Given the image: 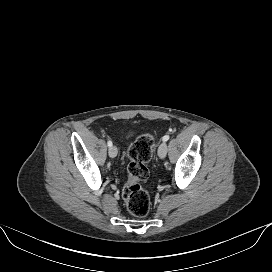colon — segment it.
<instances>
[{"mask_svg": "<svg viewBox=\"0 0 272 272\" xmlns=\"http://www.w3.org/2000/svg\"><path fill=\"white\" fill-rule=\"evenodd\" d=\"M154 140L151 135L139 136L129 147L128 179L123 187V198L128 211L136 217H144L150 210V198L141 186L149 176L147 163L152 157Z\"/></svg>", "mask_w": 272, "mask_h": 272, "instance_id": "colon-1", "label": "colon"}]
</instances>
